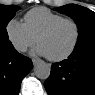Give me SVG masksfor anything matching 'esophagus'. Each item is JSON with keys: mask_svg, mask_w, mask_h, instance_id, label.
Listing matches in <instances>:
<instances>
[{"mask_svg": "<svg viewBox=\"0 0 95 95\" xmlns=\"http://www.w3.org/2000/svg\"><path fill=\"white\" fill-rule=\"evenodd\" d=\"M39 61H40V60L37 59V58H33V59H32V62H33L34 65H36Z\"/></svg>", "mask_w": 95, "mask_h": 95, "instance_id": "esophagus-1", "label": "esophagus"}]
</instances>
